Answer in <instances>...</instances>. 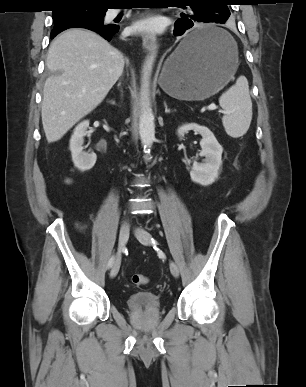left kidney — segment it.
Masks as SVG:
<instances>
[{
    "instance_id": "5707ae66",
    "label": "left kidney",
    "mask_w": 306,
    "mask_h": 387,
    "mask_svg": "<svg viewBox=\"0 0 306 387\" xmlns=\"http://www.w3.org/2000/svg\"><path fill=\"white\" fill-rule=\"evenodd\" d=\"M190 130L197 132L202 136L200 146L201 157H205L202 163L194 162L190 171V177L193 182L201 185H210L218 177V171L221 166V158L223 148L218 143L214 134L205 126H200L196 123L185 124L177 130L178 136L181 138Z\"/></svg>"
}]
</instances>
